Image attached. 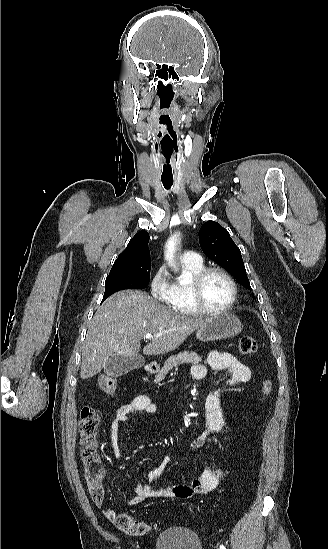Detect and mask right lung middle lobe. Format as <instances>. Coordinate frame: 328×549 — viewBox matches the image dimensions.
I'll return each instance as SVG.
<instances>
[{"mask_svg":"<svg viewBox=\"0 0 328 549\" xmlns=\"http://www.w3.org/2000/svg\"><path fill=\"white\" fill-rule=\"evenodd\" d=\"M150 269L151 261L148 259L110 271L106 278V288L102 301L119 290L146 287L150 279Z\"/></svg>","mask_w":328,"mask_h":549,"instance_id":"1","label":"right lung middle lobe"}]
</instances>
